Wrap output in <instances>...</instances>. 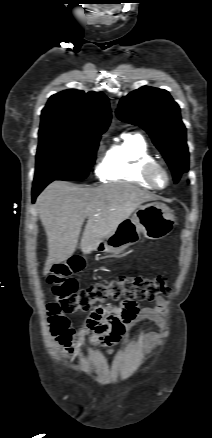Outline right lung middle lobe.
Returning a JSON list of instances; mask_svg holds the SVG:
<instances>
[{"label": "right lung middle lobe", "mask_w": 212, "mask_h": 438, "mask_svg": "<svg viewBox=\"0 0 212 438\" xmlns=\"http://www.w3.org/2000/svg\"><path fill=\"white\" fill-rule=\"evenodd\" d=\"M100 135L39 133L34 182L86 178L95 162Z\"/></svg>", "instance_id": "right-lung-middle-lobe-1"}]
</instances>
